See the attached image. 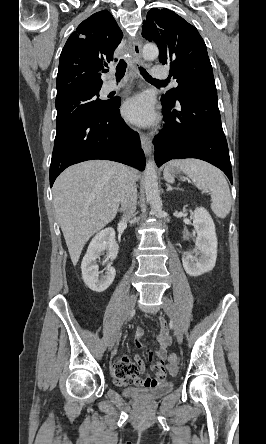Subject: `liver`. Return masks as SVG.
<instances>
[{
	"mask_svg": "<svg viewBox=\"0 0 266 444\" xmlns=\"http://www.w3.org/2000/svg\"><path fill=\"white\" fill-rule=\"evenodd\" d=\"M124 168L91 160L69 167L56 179L53 203L74 266L89 238L115 218ZM130 172L136 180L137 170Z\"/></svg>",
	"mask_w": 266,
	"mask_h": 444,
	"instance_id": "6515ba94",
	"label": "liver"
}]
</instances>
